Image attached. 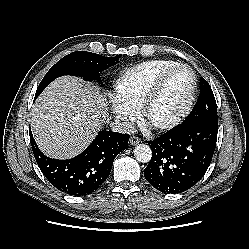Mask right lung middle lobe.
Segmentation results:
<instances>
[{
  "instance_id": "dd1d6c3e",
  "label": "right lung middle lobe",
  "mask_w": 249,
  "mask_h": 249,
  "mask_svg": "<svg viewBox=\"0 0 249 249\" xmlns=\"http://www.w3.org/2000/svg\"><path fill=\"white\" fill-rule=\"evenodd\" d=\"M119 57V55L115 57H104L85 51L72 52L59 60L46 73L37 88L35 97L54 79L63 75L80 76L88 81H100L99 73L115 65Z\"/></svg>"
}]
</instances>
